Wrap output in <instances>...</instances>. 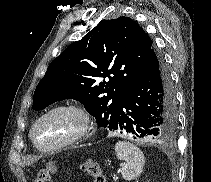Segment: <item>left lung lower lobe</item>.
Segmentation results:
<instances>
[{"instance_id": "1", "label": "left lung lower lobe", "mask_w": 211, "mask_h": 182, "mask_svg": "<svg viewBox=\"0 0 211 182\" xmlns=\"http://www.w3.org/2000/svg\"><path fill=\"white\" fill-rule=\"evenodd\" d=\"M174 89L163 56L152 48L120 104L115 129L134 138L151 140L175 130Z\"/></svg>"}]
</instances>
